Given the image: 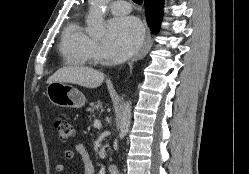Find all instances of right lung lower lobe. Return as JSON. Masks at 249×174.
Returning a JSON list of instances; mask_svg holds the SVG:
<instances>
[{
    "label": "right lung lower lobe",
    "mask_w": 249,
    "mask_h": 174,
    "mask_svg": "<svg viewBox=\"0 0 249 174\" xmlns=\"http://www.w3.org/2000/svg\"><path fill=\"white\" fill-rule=\"evenodd\" d=\"M163 0H145L147 22L152 31L158 32L163 15Z\"/></svg>",
    "instance_id": "right-lung-lower-lobe-1"
}]
</instances>
